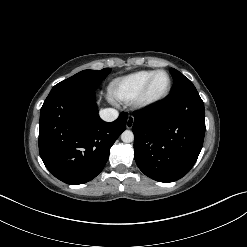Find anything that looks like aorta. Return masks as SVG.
<instances>
[{
	"mask_svg": "<svg viewBox=\"0 0 247 247\" xmlns=\"http://www.w3.org/2000/svg\"><path fill=\"white\" fill-rule=\"evenodd\" d=\"M121 140L125 143H130L133 142L134 140V134L132 131L130 130H125L122 134H121Z\"/></svg>",
	"mask_w": 247,
	"mask_h": 247,
	"instance_id": "762f6f07",
	"label": "aorta"
}]
</instances>
